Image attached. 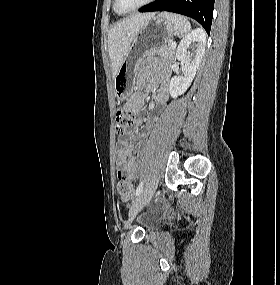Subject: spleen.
Masks as SVG:
<instances>
[{"instance_id":"spleen-1","label":"spleen","mask_w":280,"mask_h":285,"mask_svg":"<svg viewBox=\"0 0 280 285\" xmlns=\"http://www.w3.org/2000/svg\"><path fill=\"white\" fill-rule=\"evenodd\" d=\"M161 16L173 24L175 34L178 37H183L191 29L190 22L185 17H183L181 15L164 12L161 14Z\"/></svg>"}]
</instances>
